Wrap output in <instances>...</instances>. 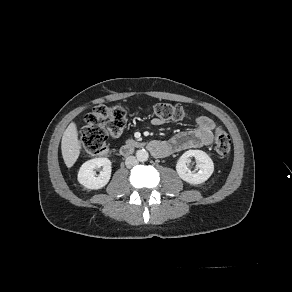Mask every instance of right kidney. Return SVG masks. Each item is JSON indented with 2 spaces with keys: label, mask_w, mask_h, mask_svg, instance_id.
Wrapping results in <instances>:
<instances>
[{
  "label": "right kidney",
  "mask_w": 292,
  "mask_h": 292,
  "mask_svg": "<svg viewBox=\"0 0 292 292\" xmlns=\"http://www.w3.org/2000/svg\"><path fill=\"white\" fill-rule=\"evenodd\" d=\"M102 167L100 175L95 176V168ZM111 161L108 158H94L82 164L78 172V182L87 189L98 190L107 185L111 177Z\"/></svg>",
  "instance_id": "right-kidney-1"
}]
</instances>
